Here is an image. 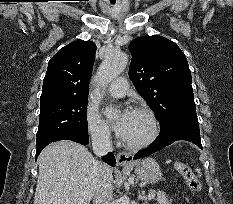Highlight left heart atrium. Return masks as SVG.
I'll list each match as a JSON object with an SVG mask.
<instances>
[{
    "instance_id": "39dd6f15",
    "label": "left heart atrium",
    "mask_w": 233,
    "mask_h": 204,
    "mask_svg": "<svg viewBox=\"0 0 233 204\" xmlns=\"http://www.w3.org/2000/svg\"><path fill=\"white\" fill-rule=\"evenodd\" d=\"M130 113H131L130 111L124 110L119 116V118L116 120V122L114 123V129L117 135L123 139H125L126 137Z\"/></svg>"
}]
</instances>
